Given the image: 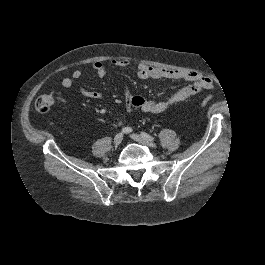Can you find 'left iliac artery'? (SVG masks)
<instances>
[{
	"mask_svg": "<svg viewBox=\"0 0 265 265\" xmlns=\"http://www.w3.org/2000/svg\"><path fill=\"white\" fill-rule=\"evenodd\" d=\"M141 135L144 136V137H150V138H152L154 140V137L150 136L146 132H141Z\"/></svg>",
	"mask_w": 265,
	"mask_h": 265,
	"instance_id": "1",
	"label": "left iliac artery"
}]
</instances>
